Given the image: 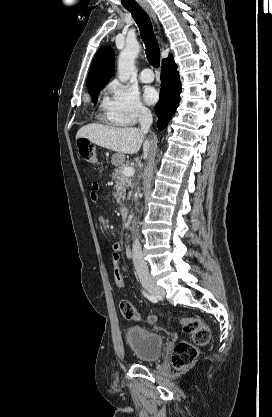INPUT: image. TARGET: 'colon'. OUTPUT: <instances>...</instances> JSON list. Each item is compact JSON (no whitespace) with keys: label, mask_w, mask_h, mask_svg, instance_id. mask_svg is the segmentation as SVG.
I'll return each instance as SVG.
<instances>
[{"label":"colon","mask_w":272,"mask_h":417,"mask_svg":"<svg viewBox=\"0 0 272 417\" xmlns=\"http://www.w3.org/2000/svg\"><path fill=\"white\" fill-rule=\"evenodd\" d=\"M78 150L81 159L85 162L96 164L99 161L97 148L88 140L82 139L78 142ZM114 270L113 276L115 284L119 288L124 287V274L119 264V253L113 252ZM120 311L127 320H138L137 309L126 300L121 301ZM154 322V318H151ZM183 331L192 336L193 342L182 341L176 344L172 354V362L178 370L190 367L197 359L199 351L198 345L206 343L210 338L209 328L198 318L186 317L180 320Z\"/></svg>","instance_id":"colon-1"}]
</instances>
